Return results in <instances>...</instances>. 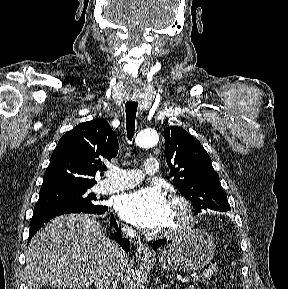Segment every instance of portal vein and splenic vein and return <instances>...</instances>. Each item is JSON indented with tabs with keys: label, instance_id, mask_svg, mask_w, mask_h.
I'll return each instance as SVG.
<instances>
[{
	"label": "portal vein and splenic vein",
	"instance_id": "1",
	"mask_svg": "<svg viewBox=\"0 0 288 289\" xmlns=\"http://www.w3.org/2000/svg\"><path fill=\"white\" fill-rule=\"evenodd\" d=\"M207 273H204L203 276L207 277ZM200 279V275H196V277L194 278V281H198Z\"/></svg>",
	"mask_w": 288,
	"mask_h": 289
}]
</instances>
